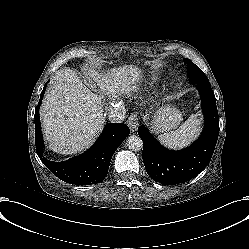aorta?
I'll return each instance as SVG.
<instances>
[{
    "instance_id": "obj_1",
    "label": "aorta",
    "mask_w": 249,
    "mask_h": 249,
    "mask_svg": "<svg viewBox=\"0 0 249 249\" xmlns=\"http://www.w3.org/2000/svg\"><path fill=\"white\" fill-rule=\"evenodd\" d=\"M126 146L132 151H140L143 148V142L137 135H131L126 139Z\"/></svg>"
}]
</instances>
